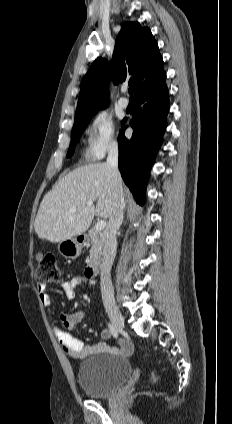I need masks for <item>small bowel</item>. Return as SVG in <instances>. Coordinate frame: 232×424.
Instances as JSON below:
<instances>
[{
    "label": "small bowel",
    "mask_w": 232,
    "mask_h": 424,
    "mask_svg": "<svg viewBox=\"0 0 232 424\" xmlns=\"http://www.w3.org/2000/svg\"><path fill=\"white\" fill-rule=\"evenodd\" d=\"M94 280L85 275H76L70 280L61 284L62 291L67 299H73L76 294L77 288L83 285H94ZM39 297L42 305L45 308H50L52 298L46 292L44 284H38ZM86 313L83 310L73 312H61L59 314L60 325L55 326V335L62 346L63 351L70 357L76 359H85L92 355L109 354L115 356H129L133 352L132 344L124 339L119 341V347H110L105 343H98L93 345H85L84 342L71 335L70 331L74 330L85 317ZM112 333L110 329H103L100 333L102 340H108Z\"/></svg>",
    "instance_id": "1"
}]
</instances>
